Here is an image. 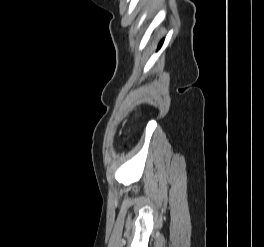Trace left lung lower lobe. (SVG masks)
I'll use <instances>...</instances> for the list:
<instances>
[{
  "mask_svg": "<svg viewBox=\"0 0 264 247\" xmlns=\"http://www.w3.org/2000/svg\"><path fill=\"white\" fill-rule=\"evenodd\" d=\"M162 42H163V41L160 42L159 47L162 45Z\"/></svg>",
  "mask_w": 264,
  "mask_h": 247,
  "instance_id": "obj_1",
  "label": "left lung lower lobe"
}]
</instances>
